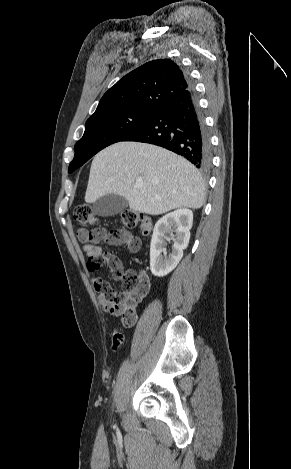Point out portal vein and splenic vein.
I'll list each match as a JSON object with an SVG mask.
<instances>
[{"label": "portal vein and splenic vein", "mask_w": 291, "mask_h": 469, "mask_svg": "<svg viewBox=\"0 0 291 469\" xmlns=\"http://www.w3.org/2000/svg\"><path fill=\"white\" fill-rule=\"evenodd\" d=\"M136 187H137V188H141V187H142V184H141V183H138Z\"/></svg>", "instance_id": "portal-vein-and-splenic-vein-1"}]
</instances>
